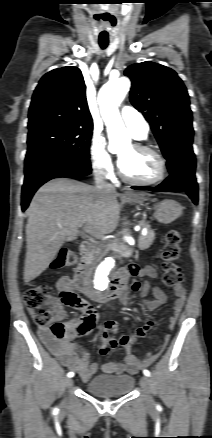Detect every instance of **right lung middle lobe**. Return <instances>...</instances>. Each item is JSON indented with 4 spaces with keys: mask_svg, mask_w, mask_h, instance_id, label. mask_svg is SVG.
<instances>
[{
    "mask_svg": "<svg viewBox=\"0 0 212 438\" xmlns=\"http://www.w3.org/2000/svg\"><path fill=\"white\" fill-rule=\"evenodd\" d=\"M92 129L44 126L29 130L26 157L89 160Z\"/></svg>",
    "mask_w": 212,
    "mask_h": 438,
    "instance_id": "dd1d6c3e",
    "label": "right lung middle lobe"
}]
</instances>
